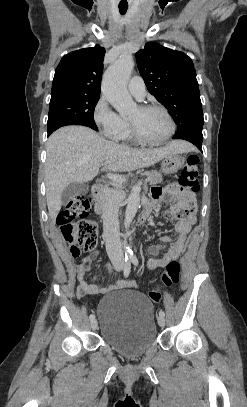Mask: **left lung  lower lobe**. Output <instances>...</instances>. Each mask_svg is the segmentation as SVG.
I'll use <instances>...</instances> for the list:
<instances>
[{"label":"left lung lower lobe","instance_id":"obj_1","mask_svg":"<svg viewBox=\"0 0 247 407\" xmlns=\"http://www.w3.org/2000/svg\"><path fill=\"white\" fill-rule=\"evenodd\" d=\"M173 139H184L193 143L200 151H202V126H193L182 131L176 132Z\"/></svg>","mask_w":247,"mask_h":407}]
</instances>
